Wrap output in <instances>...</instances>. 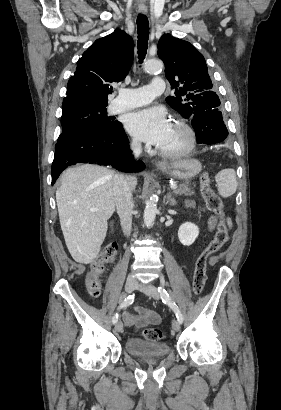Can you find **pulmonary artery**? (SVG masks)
<instances>
[{"mask_svg":"<svg viewBox=\"0 0 281 410\" xmlns=\"http://www.w3.org/2000/svg\"><path fill=\"white\" fill-rule=\"evenodd\" d=\"M165 90V83L161 78H154L149 85L139 88H118V96L113 102L115 112L130 110L151 102Z\"/></svg>","mask_w":281,"mask_h":410,"instance_id":"obj_1","label":"pulmonary artery"}]
</instances>
